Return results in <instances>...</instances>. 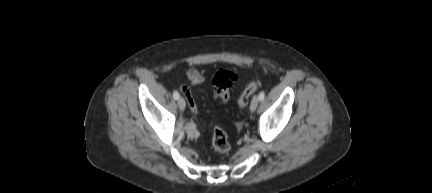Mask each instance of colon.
<instances>
[{"instance_id":"5ec220e1","label":"colon","mask_w":432,"mask_h":193,"mask_svg":"<svg viewBox=\"0 0 432 193\" xmlns=\"http://www.w3.org/2000/svg\"><path fill=\"white\" fill-rule=\"evenodd\" d=\"M236 81L237 75L233 71L218 70L212 80L215 97L221 99L223 102H227L229 100L230 89ZM257 89L258 83L256 81L247 84L238 99V106L244 108L248 104L251 95ZM212 146L219 154H227L231 150V141L228 135L217 125L213 128Z\"/></svg>"}]
</instances>
